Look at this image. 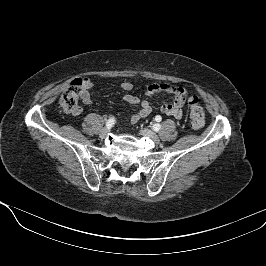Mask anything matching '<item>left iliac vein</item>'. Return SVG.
Returning <instances> with one entry per match:
<instances>
[{
	"label": "left iliac vein",
	"instance_id": "left-iliac-vein-1",
	"mask_svg": "<svg viewBox=\"0 0 266 266\" xmlns=\"http://www.w3.org/2000/svg\"><path fill=\"white\" fill-rule=\"evenodd\" d=\"M140 133L141 135L150 138L155 144H158L160 142V139L157 134L149 129L144 128L140 131Z\"/></svg>",
	"mask_w": 266,
	"mask_h": 266
}]
</instances>
